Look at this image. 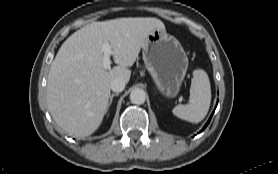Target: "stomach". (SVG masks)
Returning <instances> with one entry per match:
<instances>
[{"mask_svg":"<svg viewBox=\"0 0 278 174\" xmlns=\"http://www.w3.org/2000/svg\"><path fill=\"white\" fill-rule=\"evenodd\" d=\"M142 54L157 89L167 97H175L188 67V57L180 42L165 28H156L146 37Z\"/></svg>","mask_w":278,"mask_h":174,"instance_id":"stomach-1","label":"stomach"}]
</instances>
